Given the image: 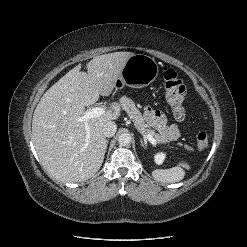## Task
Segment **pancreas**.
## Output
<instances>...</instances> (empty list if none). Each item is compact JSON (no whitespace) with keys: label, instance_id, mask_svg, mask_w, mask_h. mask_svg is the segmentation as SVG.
Wrapping results in <instances>:
<instances>
[{"label":"pancreas","instance_id":"1","mask_svg":"<svg viewBox=\"0 0 247 247\" xmlns=\"http://www.w3.org/2000/svg\"><path fill=\"white\" fill-rule=\"evenodd\" d=\"M122 108L127 112L128 116L132 119L134 122L135 127L142 133V134H150L153 136V138L156 140V142L161 144L169 143L168 139L164 135H160L153 130L150 125H148L139 109L136 107L135 103L127 98L126 96H123L120 99ZM181 146V144H178ZM187 150L192 151L190 147H186Z\"/></svg>","mask_w":247,"mask_h":247}]
</instances>
